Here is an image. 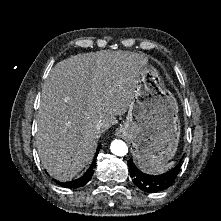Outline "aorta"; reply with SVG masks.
I'll use <instances>...</instances> for the list:
<instances>
[{
    "instance_id": "aorta-1",
    "label": "aorta",
    "mask_w": 221,
    "mask_h": 221,
    "mask_svg": "<svg viewBox=\"0 0 221 221\" xmlns=\"http://www.w3.org/2000/svg\"><path fill=\"white\" fill-rule=\"evenodd\" d=\"M111 152L117 156H125L128 152V147L126 143L122 140H114L110 146Z\"/></svg>"
}]
</instances>
